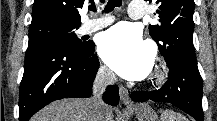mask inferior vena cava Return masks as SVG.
Masks as SVG:
<instances>
[{
    "mask_svg": "<svg viewBox=\"0 0 217 121\" xmlns=\"http://www.w3.org/2000/svg\"><path fill=\"white\" fill-rule=\"evenodd\" d=\"M115 81L116 77L112 71L105 67L99 69L93 83V97L89 99V121H104L106 106L101 99V95L106 85L112 84Z\"/></svg>",
    "mask_w": 217,
    "mask_h": 121,
    "instance_id": "inferior-vena-cava-1",
    "label": "inferior vena cava"
}]
</instances>
